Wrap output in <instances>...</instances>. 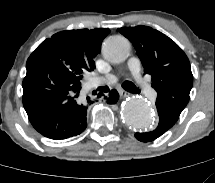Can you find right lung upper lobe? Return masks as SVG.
Masks as SVG:
<instances>
[{"instance_id":"cb5924a9","label":"right lung upper lobe","mask_w":215,"mask_h":183,"mask_svg":"<svg viewBox=\"0 0 215 183\" xmlns=\"http://www.w3.org/2000/svg\"><path fill=\"white\" fill-rule=\"evenodd\" d=\"M109 32L108 28L60 31L44 40L31 56L39 58L49 70H65L68 57L81 61L89 71L94 70L95 58Z\"/></svg>"}]
</instances>
